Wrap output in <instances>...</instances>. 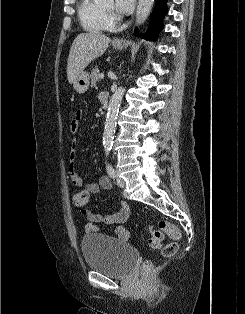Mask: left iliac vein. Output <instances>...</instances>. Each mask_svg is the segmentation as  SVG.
I'll return each instance as SVG.
<instances>
[{"label":"left iliac vein","instance_id":"left-iliac-vein-1","mask_svg":"<svg viewBox=\"0 0 245 314\" xmlns=\"http://www.w3.org/2000/svg\"><path fill=\"white\" fill-rule=\"evenodd\" d=\"M116 183H117V185H118L120 188H124V187H125V181H124L122 178H120V177H117V178H116Z\"/></svg>","mask_w":245,"mask_h":314}]
</instances>
